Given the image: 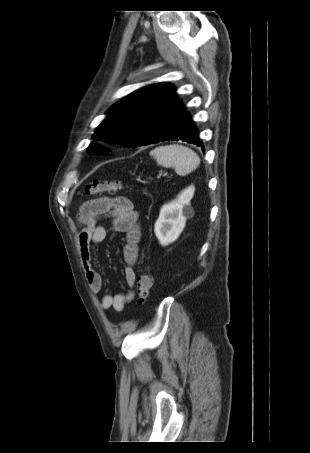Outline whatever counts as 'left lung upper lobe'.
Instances as JSON below:
<instances>
[{
	"mask_svg": "<svg viewBox=\"0 0 310 453\" xmlns=\"http://www.w3.org/2000/svg\"><path fill=\"white\" fill-rule=\"evenodd\" d=\"M179 104L175 88L170 84L143 87L108 110L93 139L133 148L157 143L166 133ZM88 150L101 151L93 143Z\"/></svg>",
	"mask_w": 310,
	"mask_h": 453,
	"instance_id": "1",
	"label": "left lung upper lobe"
}]
</instances>
